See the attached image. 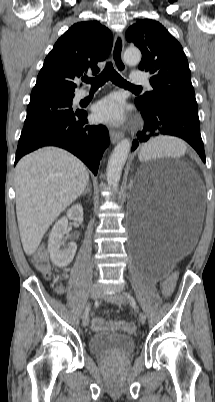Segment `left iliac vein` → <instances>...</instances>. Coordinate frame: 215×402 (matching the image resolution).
I'll return each instance as SVG.
<instances>
[{"instance_id":"4c4485c4","label":"left iliac vein","mask_w":215,"mask_h":402,"mask_svg":"<svg viewBox=\"0 0 215 402\" xmlns=\"http://www.w3.org/2000/svg\"><path fill=\"white\" fill-rule=\"evenodd\" d=\"M101 297L105 299L106 301L117 304V305H122L126 303V298L120 294V293H102ZM139 321L144 324L146 321V316L144 313L139 314Z\"/></svg>"}]
</instances>
